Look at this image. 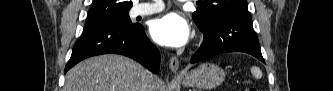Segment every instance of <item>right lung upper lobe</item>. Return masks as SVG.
Returning a JSON list of instances; mask_svg holds the SVG:
<instances>
[{
  "label": "right lung upper lobe",
  "mask_w": 333,
  "mask_h": 91,
  "mask_svg": "<svg viewBox=\"0 0 333 91\" xmlns=\"http://www.w3.org/2000/svg\"><path fill=\"white\" fill-rule=\"evenodd\" d=\"M132 5L130 0H94L89 20L129 11Z\"/></svg>",
  "instance_id": "cb5924a9"
}]
</instances>
